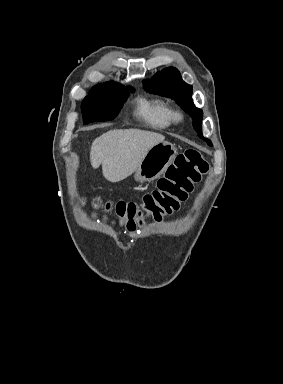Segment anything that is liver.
<instances>
[{
	"label": "liver",
	"mask_w": 283,
	"mask_h": 384,
	"mask_svg": "<svg viewBox=\"0 0 283 384\" xmlns=\"http://www.w3.org/2000/svg\"><path fill=\"white\" fill-rule=\"evenodd\" d=\"M164 136L145 130H110L92 142V168L102 164V174L108 182H121L138 170L152 146L164 142Z\"/></svg>",
	"instance_id": "6515ba94"
}]
</instances>
